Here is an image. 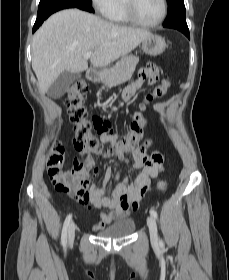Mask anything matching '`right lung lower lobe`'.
<instances>
[{
    "label": "right lung lower lobe",
    "instance_id": "98d812e1",
    "mask_svg": "<svg viewBox=\"0 0 229 280\" xmlns=\"http://www.w3.org/2000/svg\"><path fill=\"white\" fill-rule=\"evenodd\" d=\"M67 8H79L88 12H94L91 4L81 0H51L40 2L38 7L37 19L33 27V33L51 14Z\"/></svg>",
    "mask_w": 229,
    "mask_h": 280
}]
</instances>
